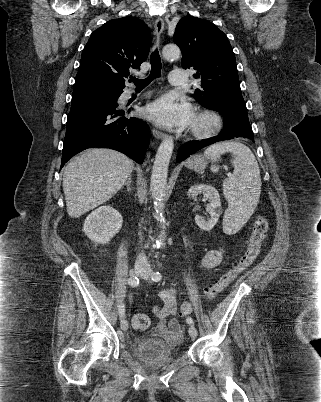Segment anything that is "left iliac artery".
<instances>
[{"label": "left iliac artery", "instance_id": "obj_1", "mask_svg": "<svg viewBox=\"0 0 321 402\" xmlns=\"http://www.w3.org/2000/svg\"><path fill=\"white\" fill-rule=\"evenodd\" d=\"M161 278H162V275L159 272H154L152 275V280L155 282L160 281ZM186 321L190 325L194 324L193 319L191 317H188Z\"/></svg>", "mask_w": 321, "mask_h": 402}]
</instances>
